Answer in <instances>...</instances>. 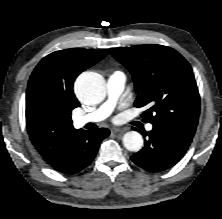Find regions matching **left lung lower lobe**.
Segmentation results:
<instances>
[{"mask_svg":"<svg viewBox=\"0 0 222 219\" xmlns=\"http://www.w3.org/2000/svg\"><path fill=\"white\" fill-rule=\"evenodd\" d=\"M148 136L145 147L132 155L131 160L149 172H159L179 162L193 138V135L165 124L153 125Z\"/></svg>","mask_w":222,"mask_h":219,"instance_id":"left-lung-lower-lobe-1","label":"left lung lower lobe"}]
</instances>
